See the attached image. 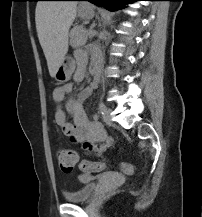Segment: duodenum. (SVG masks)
Masks as SVG:
<instances>
[{"label": "duodenum", "mask_w": 202, "mask_h": 217, "mask_svg": "<svg viewBox=\"0 0 202 217\" xmlns=\"http://www.w3.org/2000/svg\"><path fill=\"white\" fill-rule=\"evenodd\" d=\"M93 70V80L97 81L99 79V67L92 66Z\"/></svg>", "instance_id": "1"}]
</instances>
